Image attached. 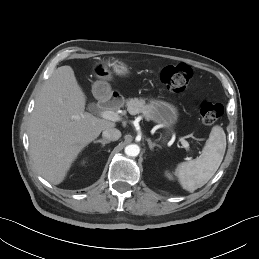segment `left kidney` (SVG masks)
Returning a JSON list of instances; mask_svg holds the SVG:
<instances>
[{
	"instance_id": "5707ae66",
	"label": "left kidney",
	"mask_w": 259,
	"mask_h": 259,
	"mask_svg": "<svg viewBox=\"0 0 259 259\" xmlns=\"http://www.w3.org/2000/svg\"><path fill=\"white\" fill-rule=\"evenodd\" d=\"M166 175L169 179H172V176L169 173H166Z\"/></svg>"
}]
</instances>
